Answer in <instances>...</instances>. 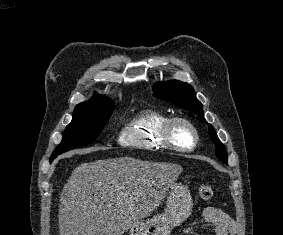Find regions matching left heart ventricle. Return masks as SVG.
<instances>
[{"label": "left heart ventricle", "mask_w": 283, "mask_h": 235, "mask_svg": "<svg viewBox=\"0 0 283 235\" xmlns=\"http://www.w3.org/2000/svg\"><path fill=\"white\" fill-rule=\"evenodd\" d=\"M174 141L180 146H190L193 142V137L190 131L182 126L177 125L173 130Z\"/></svg>", "instance_id": "b2bd125f"}]
</instances>
